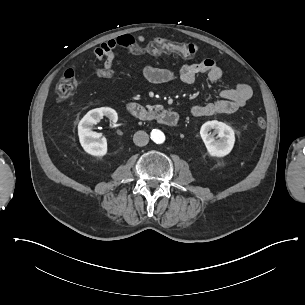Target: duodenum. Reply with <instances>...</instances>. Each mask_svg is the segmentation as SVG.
I'll return each instance as SVG.
<instances>
[{
  "label": "duodenum",
  "instance_id": "410a0bca",
  "mask_svg": "<svg viewBox=\"0 0 305 305\" xmlns=\"http://www.w3.org/2000/svg\"><path fill=\"white\" fill-rule=\"evenodd\" d=\"M125 109L128 114L138 120L155 119L159 124L166 127H174L178 123L179 117L176 112L170 109L156 111L154 113L147 110L142 104L137 102H129Z\"/></svg>",
  "mask_w": 305,
  "mask_h": 305
}]
</instances>
